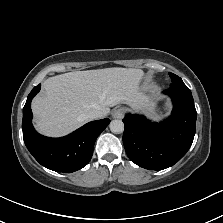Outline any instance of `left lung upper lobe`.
I'll return each instance as SVG.
<instances>
[{
    "instance_id": "5c2ea615",
    "label": "left lung upper lobe",
    "mask_w": 223,
    "mask_h": 223,
    "mask_svg": "<svg viewBox=\"0 0 223 223\" xmlns=\"http://www.w3.org/2000/svg\"><path fill=\"white\" fill-rule=\"evenodd\" d=\"M172 83L170 84V88L177 89H188V87L183 83L182 79L173 73H169Z\"/></svg>"
}]
</instances>
